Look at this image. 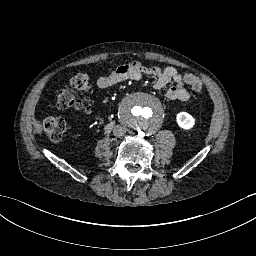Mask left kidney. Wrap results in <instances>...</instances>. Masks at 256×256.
Segmentation results:
<instances>
[{
  "instance_id": "left-kidney-1",
  "label": "left kidney",
  "mask_w": 256,
  "mask_h": 256,
  "mask_svg": "<svg viewBox=\"0 0 256 256\" xmlns=\"http://www.w3.org/2000/svg\"><path fill=\"white\" fill-rule=\"evenodd\" d=\"M176 119L178 125L183 129H190L194 126L195 123L194 118L186 112L178 113Z\"/></svg>"
}]
</instances>
